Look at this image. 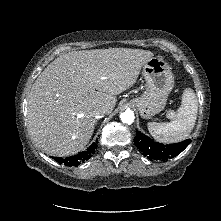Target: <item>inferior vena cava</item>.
I'll list each match as a JSON object with an SVG mask.
<instances>
[{"label": "inferior vena cava", "instance_id": "602c4592", "mask_svg": "<svg viewBox=\"0 0 221 221\" xmlns=\"http://www.w3.org/2000/svg\"><path fill=\"white\" fill-rule=\"evenodd\" d=\"M106 113H107L106 108L101 106L94 107L91 110L92 116L95 117L96 119L103 117Z\"/></svg>", "mask_w": 221, "mask_h": 221}]
</instances>
